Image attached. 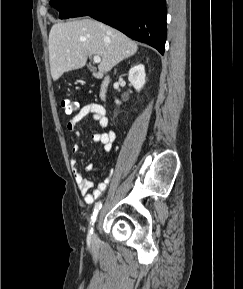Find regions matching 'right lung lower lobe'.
Instances as JSON below:
<instances>
[{
	"mask_svg": "<svg viewBox=\"0 0 243 289\" xmlns=\"http://www.w3.org/2000/svg\"><path fill=\"white\" fill-rule=\"evenodd\" d=\"M90 16L164 54L165 0H88L71 17Z\"/></svg>",
	"mask_w": 243,
	"mask_h": 289,
	"instance_id": "right-lung-lower-lobe-1",
	"label": "right lung lower lobe"
}]
</instances>
